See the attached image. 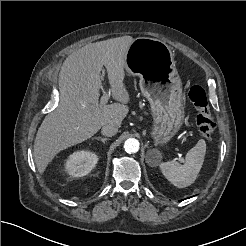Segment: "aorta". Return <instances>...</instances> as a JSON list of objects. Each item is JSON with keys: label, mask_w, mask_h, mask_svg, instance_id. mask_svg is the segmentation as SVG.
I'll return each instance as SVG.
<instances>
[{"label": "aorta", "mask_w": 246, "mask_h": 246, "mask_svg": "<svg viewBox=\"0 0 246 246\" xmlns=\"http://www.w3.org/2000/svg\"><path fill=\"white\" fill-rule=\"evenodd\" d=\"M139 141L135 138H129L124 143V149L127 153L132 154L139 151Z\"/></svg>", "instance_id": "aorta-1"}]
</instances>
